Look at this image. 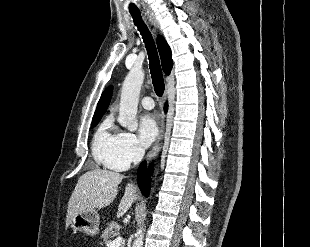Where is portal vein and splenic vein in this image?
Wrapping results in <instances>:
<instances>
[{"label":"portal vein and splenic vein","mask_w":310,"mask_h":247,"mask_svg":"<svg viewBox=\"0 0 310 247\" xmlns=\"http://www.w3.org/2000/svg\"><path fill=\"white\" fill-rule=\"evenodd\" d=\"M122 243V237L118 236L107 244V247H119Z\"/></svg>","instance_id":"obj_1"}]
</instances>
